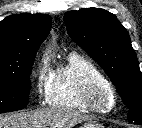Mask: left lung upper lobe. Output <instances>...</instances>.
Instances as JSON below:
<instances>
[{"instance_id": "1", "label": "left lung upper lobe", "mask_w": 142, "mask_h": 128, "mask_svg": "<svg viewBox=\"0 0 142 128\" xmlns=\"http://www.w3.org/2000/svg\"><path fill=\"white\" fill-rule=\"evenodd\" d=\"M64 21L70 37L95 60L129 108L128 120L142 125V73L127 30L100 8L69 11Z\"/></svg>"}]
</instances>
